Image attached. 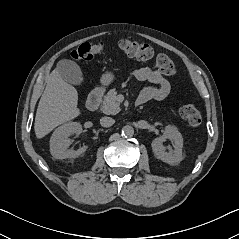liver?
Listing matches in <instances>:
<instances>
[{"label":"liver","mask_w":239,"mask_h":239,"mask_svg":"<svg viewBox=\"0 0 239 239\" xmlns=\"http://www.w3.org/2000/svg\"><path fill=\"white\" fill-rule=\"evenodd\" d=\"M78 93L63 79L58 69L48 77L47 85L40 98L34 123L37 138H43L57 126L76 118Z\"/></svg>","instance_id":"obj_1"}]
</instances>
